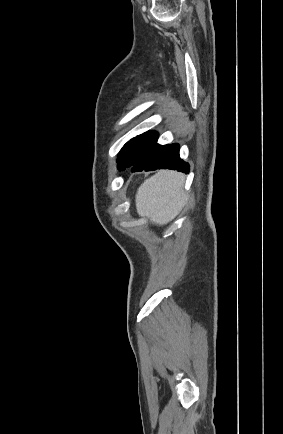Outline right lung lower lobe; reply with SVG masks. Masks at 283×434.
<instances>
[{"label":"right lung lower lobe","mask_w":283,"mask_h":434,"mask_svg":"<svg viewBox=\"0 0 283 434\" xmlns=\"http://www.w3.org/2000/svg\"><path fill=\"white\" fill-rule=\"evenodd\" d=\"M132 171H151L156 169H173L189 172V164L179 156V145H159L155 143L134 165Z\"/></svg>","instance_id":"obj_1"}]
</instances>
